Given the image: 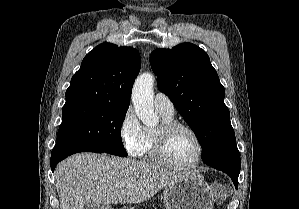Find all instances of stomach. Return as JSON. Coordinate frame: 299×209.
<instances>
[{"mask_svg":"<svg viewBox=\"0 0 299 209\" xmlns=\"http://www.w3.org/2000/svg\"><path fill=\"white\" fill-rule=\"evenodd\" d=\"M166 209H212L214 198L203 176L191 173L165 187Z\"/></svg>","mask_w":299,"mask_h":209,"instance_id":"obj_1","label":"stomach"}]
</instances>
